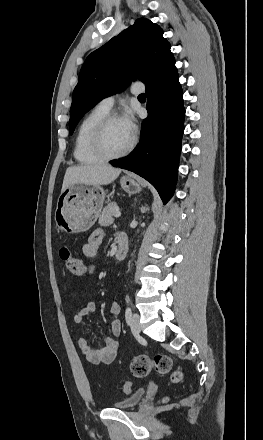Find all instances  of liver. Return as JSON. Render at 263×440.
<instances>
[{"instance_id":"liver-1","label":"liver","mask_w":263,"mask_h":440,"mask_svg":"<svg viewBox=\"0 0 263 440\" xmlns=\"http://www.w3.org/2000/svg\"><path fill=\"white\" fill-rule=\"evenodd\" d=\"M120 173L121 169L114 168L105 163L72 166L66 170L62 190L74 183L89 186L108 185L112 183Z\"/></svg>"}]
</instances>
